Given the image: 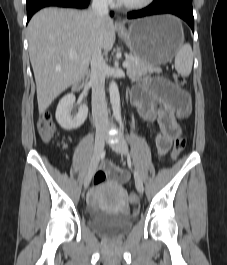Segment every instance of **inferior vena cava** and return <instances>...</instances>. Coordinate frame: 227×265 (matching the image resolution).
<instances>
[{
	"instance_id": "1",
	"label": "inferior vena cava",
	"mask_w": 227,
	"mask_h": 265,
	"mask_svg": "<svg viewBox=\"0 0 227 265\" xmlns=\"http://www.w3.org/2000/svg\"><path fill=\"white\" fill-rule=\"evenodd\" d=\"M92 11L97 19L108 18V0H93ZM106 63L101 48L97 47L91 58L90 83L92 85V115L96 132H105L109 127L105 98Z\"/></svg>"
}]
</instances>
